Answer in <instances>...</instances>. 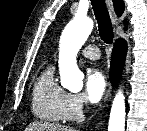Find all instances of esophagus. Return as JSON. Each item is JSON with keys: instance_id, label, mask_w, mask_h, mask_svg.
<instances>
[{"instance_id": "esophagus-1", "label": "esophagus", "mask_w": 147, "mask_h": 131, "mask_svg": "<svg viewBox=\"0 0 147 131\" xmlns=\"http://www.w3.org/2000/svg\"><path fill=\"white\" fill-rule=\"evenodd\" d=\"M107 6H108V10L111 16V20L113 22L114 25H117L119 22L118 16L116 15L115 11H114V7H113V2L112 0H106ZM111 91H112V85L110 84L107 88V91L104 95V99H103V107L106 105V103L109 101L110 99V95H111Z\"/></svg>"}]
</instances>
